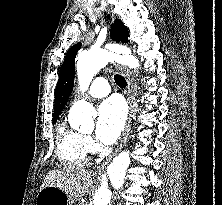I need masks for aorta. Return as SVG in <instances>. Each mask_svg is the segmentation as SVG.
Wrapping results in <instances>:
<instances>
[{
    "label": "aorta",
    "instance_id": "aorta-1",
    "mask_svg": "<svg viewBox=\"0 0 222 205\" xmlns=\"http://www.w3.org/2000/svg\"><path fill=\"white\" fill-rule=\"evenodd\" d=\"M108 49L83 51L78 56L77 75L82 92L86 91L98 70L104 68L109 62L121 61L132 68L139 66L137 59L132 56H121L119 53H129L125 48L109 47ZM94 107L82 99L77 101L69 112V122L73 128L81 131L94 129ZM136 145L120 153L108 166L102 176L100 185L94 193V205H108L123 190L129 169L133 164Z\"/></svg>",
    "mask_w": 222,
    "mask_h": 205
}]
</instances>
